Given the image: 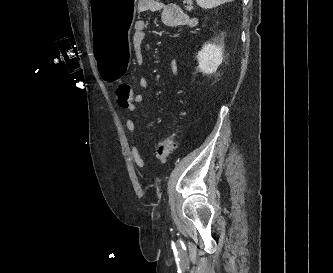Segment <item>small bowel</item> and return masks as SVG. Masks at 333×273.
<instances>
[{"instance_id":"c3829d8e","label":"small bowel","mask_w":333,"mask_h":273,"mask_svg":"<svg viewBox=\"0 0 333 273\" xmlns=\"http://www.w3.org/2000/svg\"><path fill=\"white\" fill-rule=\"evenodd\" d=\"M137 11L140 15L147 13L159 12L161 15V21L165 26L168 27H184L194 26L195 20L190 18L183 8L175 3H167L161 0H138ZM148 25L145 20H137L134 24V30L132 35V46L134 50L135 59L138 65L144 63L143 46L145 42L146 32ZM170 69L174 77H180L179 60L172 59L170 62ZM149 81L147 78L142 77L139 80V87L141 90L147 89ZM132 98L134 99V109H124L128 112H134L136 105L143 101V95L141 93H133ZM121 107V105H119ZM125 126L128 133L133 136L136 132V124L133 119L127 118L125 120ZM131 156L136 167L140 170L146 168V162L143 159L138 147L133 144L131 147Z\"/></svg>"}]
</instances>
